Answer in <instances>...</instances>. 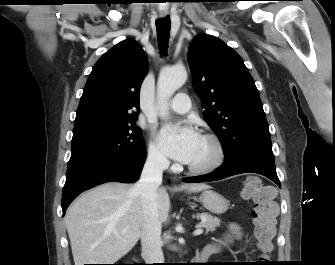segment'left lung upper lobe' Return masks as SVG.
Segmentation results:
<instances>
[{
    "label": "left lung upper lobe",
    "mask_w": 335,
    "mask_h": 265,
    "mask_svg": "<svg viewBox=\"0 0 335 265\" xmlns=\"http://www.w3.org/2000/svg\"><path fill=\"white\" fill-rule=\"evenodd\" d=\"M188 64L204 119L220 139L225 160L255 155L274 161L262 102L241 57L203 34L192 41Z\"/></svg>",
    "instance_id": "obj_1"
}]
</instances>
